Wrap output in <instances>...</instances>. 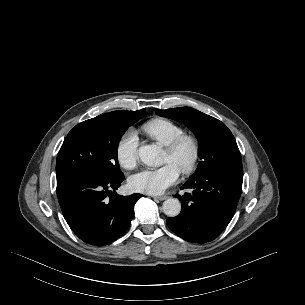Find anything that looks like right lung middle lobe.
<instances>
[{
	"mask_svg": "<svg viewBox=\"0 0 305 305\" xmlns=\"http://www.w3.org/2000/svg\"><path fill=\"white\" fill-rule=\"evenodd\" d=\"M145 110L101 114L76 125L65 138L57 155L56 174L84 173L109 179L122 175L117 159V145L126 130Z\"/></svg>",
	"mask_w": 305,
	"mask_h": 305,
	"instance_id": "right-lung-middle-lobe-1",
	"label": "right lung middle lobe"
}]
</instances>
